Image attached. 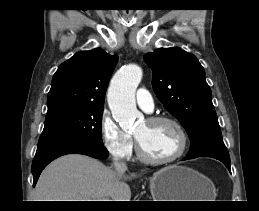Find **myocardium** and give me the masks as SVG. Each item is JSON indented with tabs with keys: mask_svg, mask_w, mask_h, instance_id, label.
Returning <instances> with one entry per match:
<instances>
[{
	"mask_svg": "<svg viewBox=\"0 0 259 211\" xmlns=\"http://www.w3.org/2000/svg\"><path fill=\"white\" fill-rule=\"evenodd\" d=\"M146 121L151 124L168 123V124L172 125L176 129L178 136H179V147H178L177 151L169 157L154 158V157L148 156L145 153L138 138L135 137L136 152H137L139 159L145 163L153 164V165L168 164V163H172V162L176 161L177 159H179L184 154V152L187 148V144H188V137H187L186 131H185L184 127L182 126V124L177 119H175L171 116H152V117L147 118Z\"/></svg>",
	"mask_w": 259,
	"mask_h": 211,
	"instance_id": "f54148a6",
	"label": "myocardium"
}]
</instances>
